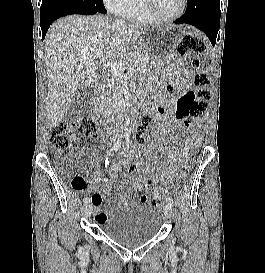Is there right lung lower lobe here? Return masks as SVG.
Instances as JSON below:
<instances>
[{
  "mask_svg": "<svg viewBox=\"0 0 265 273\" xmlns=\"http://www.w3.org/2000/svg\"><path fill=\"white\" fill-rule=\"evenodd\" d=\"M95 13L101 12L94 8H79L76 6L61 3H51L45 6H41L40 25L42 30V37L44 39L50 25L60 17L72 14L91 15Z\"/></svg>",
  "mask_w": 265,
  "mask_h": 273,
  "instance_id": "98d812e1",
  "label": "right lung lower lobe"
}]
</instances>
